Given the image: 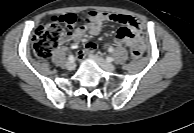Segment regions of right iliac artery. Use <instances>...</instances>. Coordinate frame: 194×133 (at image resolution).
I'll return each mask as SVG.
<instances>
[{"label": "right iliac artery", "mask_w": 194, "mask_h": 133, "mask_svg": "<svg viewBox=\"0 0 194 133\" xmlns=\"http://www.w3.org/2000/svg\"><path fill=\"white\" fill-rule=\"evenodd\" d=\"M68 60H69L70 62H73V61H74L73 55H69Z\"/></svg>", "instance_id": "82829eb1"}]
</instances>
